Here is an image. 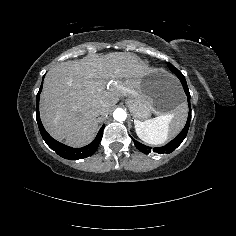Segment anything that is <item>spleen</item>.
<instances>
[{"instance_id":"obj_1","label":"spleen","mask_w":236,"mask_h":236,"mask_svg":"<svg viewBox=\"0 0 236 236\" xmlns=\"http://www.w3.org/2000/svg\"><path fill=\"white\" fill-rule=\"evenodd\" d=\"M177 115L178 111L165 116H158L144 122L135 120L136 134L141 140L148 144H163L168 139L169 124Z\"/></svg>"}]
</instances>
